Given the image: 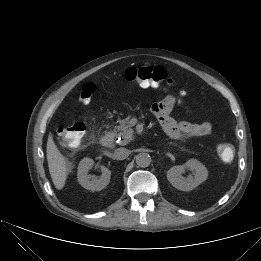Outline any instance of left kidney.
Wrapping results in <instances>:
<instances>
[{
    "label": "left kidney",
    "instance_id": "obj_1",
    "mask_svg": "<svg viewBox=\"0 0 261 261\" xmlns=\"http://www.w3.org/2000/svg\"><path fill=\"white\" fill-rule=\"evenodd\" d=\"M185 170L193 171L194 176L189 175L187 178L182 174ZM208 177L206 167L196 159H190L183 165L173 166L167 171L168 181L182 191H191L204 182Z\"/></svg>",
    "mask_w": 261,
    "mask_h": 261
}]
</instances>
